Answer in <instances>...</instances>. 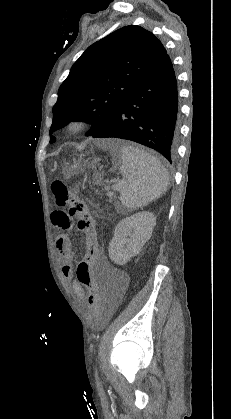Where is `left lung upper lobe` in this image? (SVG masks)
Instances as JSON below:
<instances>
[{
  "mask_svg": "<svg viewBox=\"0 0 231 419\" xmlns=\"http://www.w3.org/2000/svg\"><path fill=\"white\" fill-rule=\"evenodd\" d=\"M149 31L125 26L88 47L58 91L50 133L72 121L92 124L87 136L106 127L131 89L166 55ZM55 142V137H50Z\"/></svg>",
  "mask_w": 231,
  "mask_h": 419,
  "instance_id": "left-lung-upper-lobe-1",
  "label": "left lung upper lobe"
}]
</instances>
